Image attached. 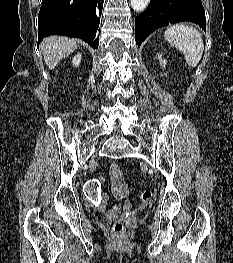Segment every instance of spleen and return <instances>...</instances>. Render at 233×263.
I'll list each match as a JSON object with an SVG mask.
<instances>
[{
	"instance_id": "3e777b00",
	"label": "spleen",
	"mask_w": 233,
	"mask_h": 263,
	"mask_svg": "<svg viewBox=\"0 0 233 263\" xmlns=\"http://www.w3.org/2000/svg\"><path fill=\"white\" fill-rule=\"evenodd\" d=\"M165 39L168 43L181 51L186 63L190 67H196L201 60L204 43L201 33L193 26L176 24L165 31Z\"/></svg>"
}]
</instances>
